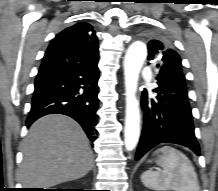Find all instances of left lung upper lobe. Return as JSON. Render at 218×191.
I'll return each instance as SVG.
<instances>
[{
  "instance_id": "left-lung-upper-lobe-1",
  "label": "left lung upper lobe",
  "mask_w": 218,
  "mask_h": 191,
  "mask_svg": "<svg viewBox=\"0 0 218 191\" xmlns=\"http://www.w3.org/2000/svg\"><path fill=\"white\" fill-rule=\"evenodd\" d=\"M148 60L157 71V77L166 94H183L187 96L185 77L179 55L167 44L159 40L148 43Z\"/></svg>"
}]
</instances>
